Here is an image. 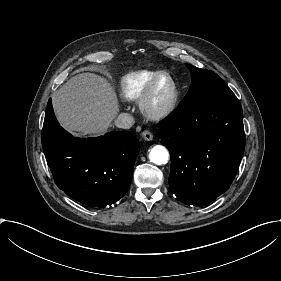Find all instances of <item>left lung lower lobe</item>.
<instances>
[{"instance_id":"obj_1","label":"left lung lower lobe","mask_w":281,"mask_h":281,"mask_svg":"<svg viewBox=\"0 0 281 281\" xmlns=\"http://www.w3.org/2000/svg\"><path fill=\"white\" fill-rule=\"evenodd\" d=\"M159 126L171 156L170 189L181 202L204 205L230 187L245 149L236 96L179 106Z\"/></svg>"}]
</instances>
